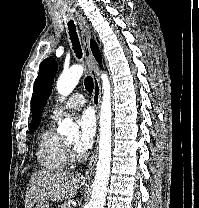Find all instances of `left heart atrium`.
<instances>
[{"label": "left heart atrium", "instance_id": "left-heart-atrium-1", "mask_svg": "<svg viewBox=\"0 0 199 208\" xmlns=\"http://www.w3.org/2000/svg\"><path fill=\"white\" fill-rule=\"evenodd\" d=\"M80 136L75 144L80 153L86 152L92 145L96 133V120L91 109H85L77 118Z\"/></svg>", "mask_w": 199, "mask_h": 208}]
</instances>
